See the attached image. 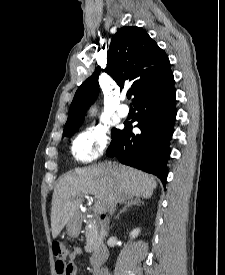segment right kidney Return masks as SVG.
Listing matches in <instances>:
<instances>
[{
	"mask_svg": "<svg viewBox=\"0 0 225 275\" xmlns=\"http://www.w3.org/2000/svg\"><path fill=\"white\" fill-rule=\"evenodd\" d=\"M139 232H140V229H134V230L130 233V236H131L132 238H135V237L138 236Z\"/></svg>",
	"mask_w": 225,
	"mask_h": 275,
	"instance_id": "right-kidney-1",
	"label": "right kidney"
}]
</instances>
